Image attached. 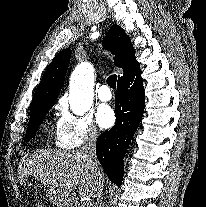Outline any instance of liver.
<instances>
[{"instance_id":"6515ba94","label":"liver","mask_w":206,"mask_h":207,"mask_svg":"<svg viewBox=\"0 0 206 207\" xmlns=\"http://www.w3.org/2000/svg\"><path fill=\"white\" fill-rule=\"evenodd\" d=\"M33 176L45 187L57 207H70L78 186L83 198L95 195L93 175L81 151L38 150L23 157L18 170L20 184ZM105 175L102 171V184Z\"/></svg>"}]
</instances>
